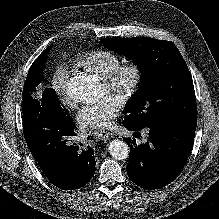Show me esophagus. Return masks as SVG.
I'll use <instances>...</instances> for the list:
<instances>
[{"label": "esophagus", "mask_w": 219, "mask_h": 219, "mask_svg": "<svg viewBox=\"0 0 219 219\" xmlns=\"http://www.w3.org/2000/svg\"><path fill=\"white\" fill-rule=\"evenodd\" d=\"M96 135L98 136V138L100 139H107L109 137V132L105 131V130H99L96 132Z\"/></svg>", "instance_id": "obj_1"}]
</instances>
